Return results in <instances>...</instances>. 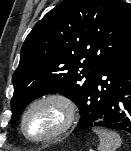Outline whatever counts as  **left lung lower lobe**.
<instances>
[{
  "label": "left lung lower lobe",
  "instance_id": "1",
  "mask_svg": "<svg viewBox=\"0 0 131 151\" xmlns=\"http://www.w3.org/2000/svg\"><path fill=\"white\" fill-rule=\"evenodd\" d=\"M73 132L94 126L131 134V44L109 57L85 97Z\"/></svg>",
  "mask_w": 131,
  "mask_h": 151
}]
</instances>
